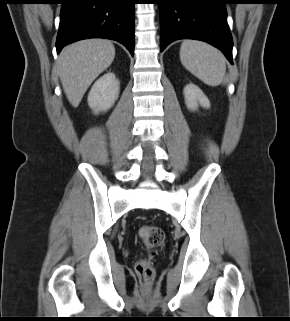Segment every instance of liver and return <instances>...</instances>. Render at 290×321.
Instances as JSON below:
<instances>
[{
  "instance_id": "1",
  "label": "liver",
  "mask_w": 290,
  "mask_h": 321,
  "mask_svg": "<svg viewBox=\"0 0 290 321\" xmlns=\"http://www.w3.org/2000/svg\"><path fill=\"white\" fill-rule=\"evenodd\" d=\"M115 58V47L106 39H85L66 46L57 60V71L69 102L77 107L91 83Z\"/></svg>"
}]
</instances>
